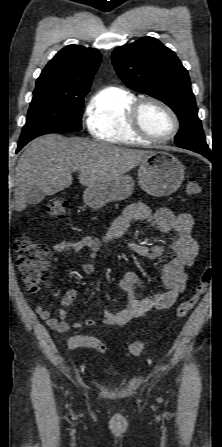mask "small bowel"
<instances>
[{
  "instance_id": "1",
  "label": "small bowel",
  "mask_w": 222,
  "mask_h": 447,
  "mask_svg": "<svg viewBox=\"0 0 222 447\" xmlns=\"http://www.w3.org/2000/svg\"><path fill=\"white\" fill-rule=\"evenodd\" d=\"M133 221H145L160 232H171L173 235L168 246L175 253V258L163 266L161 273L163 291L153 296L139 298L137 291L142 286L141 277L133 271L126 272L118 281V287L125 294L127 304L118 312L109 309L103 310V323L106 326L122 327L133 319L145 317L151 310H167L175 304L179 295L186 288L188 280L186 269L195 263L199 253L198 244L191 234L194 225L192 215L189 213L175 214L168 207L152 210L146 203L138 201L129 205L124 213L114 221L104 239L93 237L65 239L52 246L56 253L81 252L88 249L89 259L83 264L82 270L87 276H93L96 273L93 261L104 244L123 235ZM128 247L134 254L145 259L159 258L166 248L161 244L149 247L137 242L129 243ZM77 297L76 289H68L61 295L60 304L69 306ZM34 310L49 328L58 332H66L70 328L79 329L83 326L92 327L96 323L93 319H87L85 322L69 324L67 322L68 312L65 309H60L58 317L55 318L42 304H37ZM95 340L97 339L89 335H74L69 338L68 344L73 350L80 347L93 348Z\"/></svg>"
}]
</instances>
